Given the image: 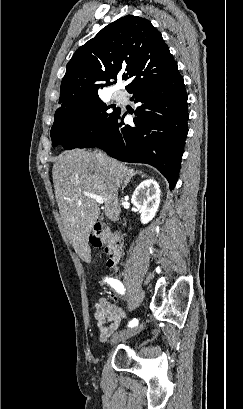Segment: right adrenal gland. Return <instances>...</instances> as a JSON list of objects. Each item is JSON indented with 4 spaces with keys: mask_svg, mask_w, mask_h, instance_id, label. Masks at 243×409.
<instances>
[{
    "mask_svg": "<svg viewBox=\"0 0 243 409\" xmlns=\"http://www.w3.org/2000/svg\"><path fill=\"white\" fill-rule=\"evenodd\" d=\"M141 173H142V172L136 171L134 175H136V174H141ZM129 182H130V179H128V180H126V181L124 182V184H123V186H122V190H124V189L127 187V185L129 184Z\"/></svg>",
    "mask_w": 243,
    "mask_h": 409,
    "instance_id": "obj_1",
    "label": "right adrenal gland"
}]
</instances>
